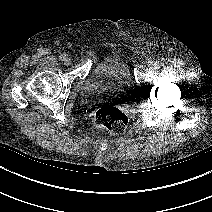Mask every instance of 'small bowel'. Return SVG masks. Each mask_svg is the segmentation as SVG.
Returning a JSON list of instances; mask_svg holds the SVG:
<instances>
[{
    "instance_id": "c3829d8e",
    "label": "small bowel",
    "mask_w": 212,
    "mask_h": 212,
    "mask_svg": "<svg viewBox=\"0 0 212 212\" xmlns=\"http://www.w3.org/2000/svg\"><path fill=\"white\" fill-rule=\"evenodd\" d=\"M91 55H94V52H90Z\"/></svg>"
}]
</instances>
